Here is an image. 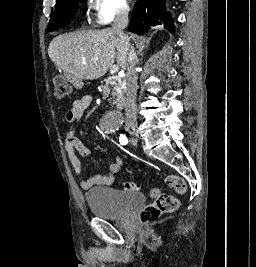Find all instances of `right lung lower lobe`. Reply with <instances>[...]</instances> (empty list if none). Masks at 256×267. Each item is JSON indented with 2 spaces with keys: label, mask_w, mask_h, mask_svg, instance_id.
I'll return each mask as SVG.
<instances>
[{
  "label": "right lung lower lobe",
  "mask_w": 256,
  "mask_h": 267,
  "mask_svg": "<svg viewBox=\"0 0 256 267\" xmlns=\"http://www.w3.org/2000/svg\"><path fill=\"white\" fill-rule=\"evenodd\" d=\"M165 0H139L132 12L129 31L143 34L150 26L164 24L170 32H174L173 19L165 10Z\"/></svg>",
  "instance_id": "obj_1"
}]
</instances>
